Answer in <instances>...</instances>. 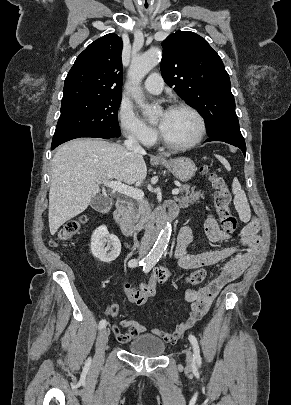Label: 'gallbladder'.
<instances>
[{
  "label": "gallbladder",
  "mask_w": 291,
  "mask_h": 405,
  "mask_svg": "<svg viewBox=\"0 0 291 405\" xmlns=\"http://www.w3.org/2000/svg\"><path fill=\"white\" fill-rule=\"evenodd\" d=\"M90 205L94 210L103 212L110 209L112 206V200L107 196L98 195L91 200Z\"/></svg>",
  "instance_id": "bac80fb5"
}]
</instances>
